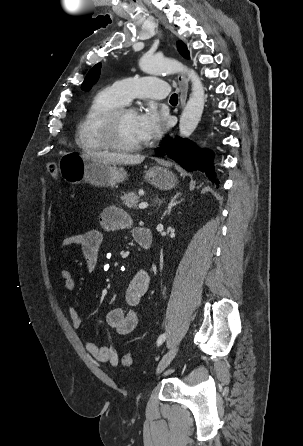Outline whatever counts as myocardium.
<instances>
[{
  "instance_id": "f54148a6",
  "label": "myocardium",
  "mask_w": 303,
  "mask_h": 446,
  "mask_svg": "<svg viewBox=\"0 0 303 446\" xmlns=\"http://www.w3.org/2000/svg\"><path fill=\"white\" fill-rule=\"evenodd\" d=\"M132 108L126 106L116 107L107 112L101 122L100 134L105 145L115 151L119 152H133L144 147L143 143L138 144H124L118 140V127L122 115Z\"/></svg>"
}]
</instances>
